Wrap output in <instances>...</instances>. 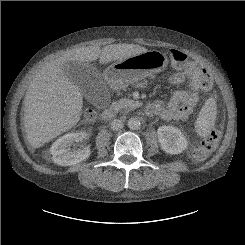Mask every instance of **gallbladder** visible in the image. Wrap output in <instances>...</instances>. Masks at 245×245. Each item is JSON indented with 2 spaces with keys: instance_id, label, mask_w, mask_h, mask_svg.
<instances>
[{
  "instance_id": "1",
  "label": "gallbladder",
  "mask_w": 245,
  "mask_h": 245,
  "mask_svg": "<svg viewBox=\"0 0 245 245\" xmlns=\"http://www.w3.org/2000/svg\"><path fill=\"white\" fill-rule=\"evenodd\" d=\"M67 77L79 87L82 95L94 106L104 107L107 89L100 71L89 63L69 62L65 64Z\"/></svg>"
}]
</instances>
